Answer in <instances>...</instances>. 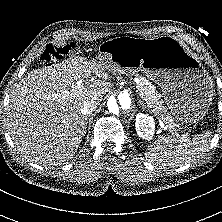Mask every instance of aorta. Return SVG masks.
I'll return each instance as SVG.
<instances>
[{
	"label": "aorta",
	"instance_id": "762f6f07",
	"mask_svg": "<svg viewBox=\"0 0 222 222\" xmlns=\"http://www.w3.org/2000/svg\"><path fill=\"white\" fill-rule=\"evenodd\" d=\"M107 109L114 116H120L132 106V100L128 94L121 93L117 98L110 97L107 100Z\"/></svg>",
	"mask_w": 222,
	"mask_h": 222
}]
</instances>
